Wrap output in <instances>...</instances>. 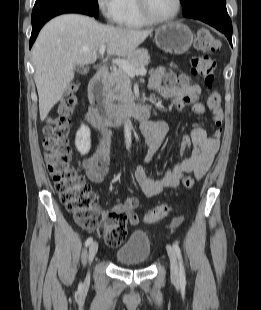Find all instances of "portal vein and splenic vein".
I'll use <instances>...</instances> for the list:
<instances>
[{"label":"portal vein and splenic vein","mask_w":261,"mask_h":310,"mask_svg":"<svg viewBox=\"0 0 261 310\" xmlns=\"http://www.w3.org/2000/svg\"><path fill=\"white\" fill-rule=\"evenodd\" d=\"M106 47H107L106 45H102L100 47L99 53L101 55H104ZM112 63L116 64L118 67L123 69L131 77H134L135 75L144 76L147 73V70L144 67L136 68L132 64H130L127 60L124 59H115L112 60Z\"/></svg>","instance_id":"portal-vein-and-splenic-vein-1"}]
</instances>
